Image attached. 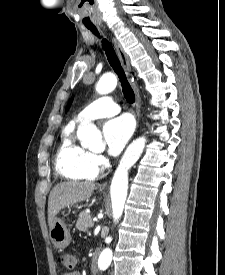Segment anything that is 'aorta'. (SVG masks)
<instances>
[{"instance_id": "aorta-1", "label": "aorta", "mask_w": 225, "mask_h": 275, "mask_svg": "<svg viewBox=\"0 0 225 275\" xmlns=\"http://www.w3.org/2000/svg\"><path fill=\"white\" fill-rule=\"evenodd\" d=\"M117 85V78L113 73H105L96 85V91L99 94H108L112 92ZM77 137L81 145L90 150H95L103 145L102 136L93 123L85 122L78 127ZM146 144L145 137H139L134 140L126 149L120 163L114 173L110 195L112 202L113 220L118 222L122 216L128 190V171L140 158ZM112 261V250L105 248L98 259V268L106 270Z\"/></svg>"}]
</instances>
